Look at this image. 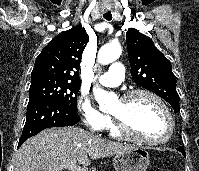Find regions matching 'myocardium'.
<instances>
[{"instance_id": "obj_1", "label": "myocardium", "mask_w": 199, "mask_h": 171, "mask_svg": "<svg viewBox=\"0 0 199 171\" xmlns=\"http://www.w3.org/2000/svg\"><path fill=\"white\" fill-rule=\"evenodd\" d=\"M138 95H145L152 98L162 108L168 122V133L166 137L160 140H153V139L144 137L136 133L130 127V125L128 124L124 116L111 114L115 129L120 135L129 139H132L134 141L140 142V143H145L148 145H164L168 143L172 139L175 132L174 119L168 105L158 94L145 88H136V89L128 90L121 96L120 100L123 102H127L133 97L138 96Z\"/></svg>"}]
</instances>
